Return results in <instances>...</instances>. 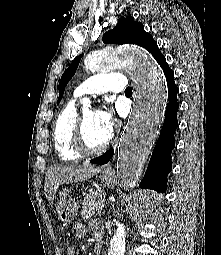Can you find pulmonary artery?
Returning <instances> with one entry per match:
<instances>
[{
    "label": "pulmonary artery",
    "mask_w": 221,
    "mask_h": 255,
    "mask_svg": "<svg viewBox=\"0 0 221 255\" xmlns=\"http://www.w3.org/2000/svg\"><path fill=\"white\" fill-rule=\"evenodd\" d=\"M126 88L125 77L119 73H106L92 76L83 81L74 91V98L100 95L108 91L122 92Z\"/></svg>",
    "instance_id": "1"
}]
</instances>
